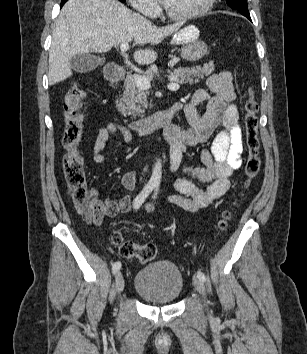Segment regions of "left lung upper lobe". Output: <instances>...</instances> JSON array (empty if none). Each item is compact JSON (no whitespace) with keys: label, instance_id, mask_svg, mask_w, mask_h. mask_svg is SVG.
<instances>
[{"label":"left lung upper lobe","instance_id":"1","mask_svg":"<svg viewBox=\"0 0 307 354\" xmlns=\"http://www.w3.org/2000/svg\"><path fill=\"white\" fill-rule=\"evenodd\" d=\"M226 2L232 9H236L242 15L250 18V14L247 8V0H226Z\"/></svg>","mask_w":307,"mask_h":354}]
</instances>
